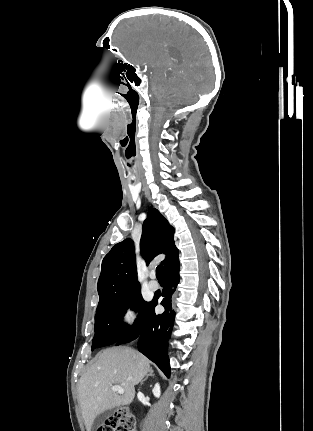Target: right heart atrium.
I'll return each mask as SVG.
<instances>
[{"label": "right heart atrium", "mask_w": 313, "mask_h": 431, "mask_svg": "<svg viewBox=\"0 0 313 431\" xmlns=\"http://www.w3.org/2000/svg\"><path fill=\"white\" fill-rule=\"evenodd\" d=\"M138 310L135 307L127 308L122 314V321L125 324H133L138 319Z\"/></svg>", "instance_id": "obj_1"}]
</instances>
